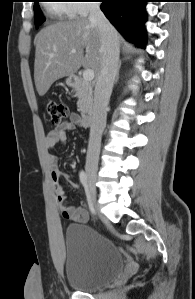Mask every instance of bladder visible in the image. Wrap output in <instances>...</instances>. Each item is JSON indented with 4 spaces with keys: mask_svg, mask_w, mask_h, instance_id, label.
<instances>
[{
    "mask_svg": "<svg viewBox=\"0 0 195 299\" xmlns=\"http://www.w3.org/2000/svg\"><path fill=\"white\" fill-rule=\"evenodd\" d=\"M64 247L66 281L80 291L112 282L125 267L116 245L87 225H69Z\"/></svg>",
    "mask_w": 195,
    "mask_h": 299,
    "instance_id": "obj_1",
    "label": "bladder"
}]
</instances>
